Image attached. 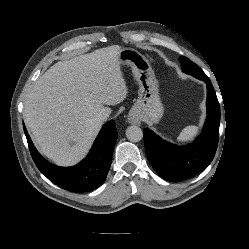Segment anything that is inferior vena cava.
Instances as JSON below:
<instances>
[{
  "label": "inferior vena cava",
  "mask_w": 249,
  "mask_h": 249,
  "mask_svg": "<svg viewBox=\"0 0 249 249\" xmlns=\"http://www.w3.org/2000/svg\"><path fill=\"white\" fill-rule=\"evenodd\" d=\"M109 115L110 114L108 112L104 111V112H101L100 114H98L97 119L100 122H104L105 120H107V118L109 117Z\"/></svg>",
  "instance_id": "obj_1"
}]
</instances>
